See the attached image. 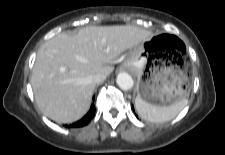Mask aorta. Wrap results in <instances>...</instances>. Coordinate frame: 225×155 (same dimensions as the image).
<instances>
[{
    "instance_id": "obj_1",
    "label": "aorta",
    "mask_w": 225,
    "mask_h": 155,
    "mask_svg": "<svg viewBox=\"0 0 225 155\" xmlns=\"http://www.w3.org/2000/svg\"><path fill=\"white\" fill-rule=\"evenodd\" d=\"M116 82L122 90H129L134 85L132 77L126 72L119 73Z\"/></svg>"
}]
</instances>
